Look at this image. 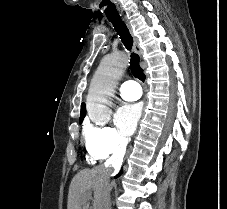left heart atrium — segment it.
Masks as SVG:
<instances>
[{"instance_id": "1", "label": "left heart atrium", "mask_w": 227, "mask_h": 209, "mask_svg": "<svg viewBox=\"0 0 227 209\" xmlns=\"http://www.w3.org/2000/svg\"><path fill=\"white\" fill-rule=\"evenodd\" d=\"M142 111L141 102H124L120 105L115 115V122L123 135L130 136L135 132Z\"/></svg>"}]
</instances>
